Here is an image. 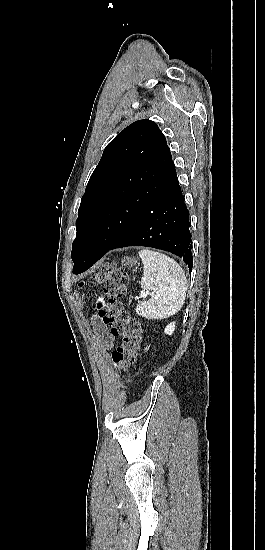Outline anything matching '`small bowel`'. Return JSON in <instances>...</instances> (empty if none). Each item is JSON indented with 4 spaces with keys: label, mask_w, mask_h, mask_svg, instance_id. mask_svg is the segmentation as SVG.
<instances>
[{
    "label": "small bowel",
    "mask_w": 265,
    "mask_h": 550,
    "mask_svg": "<svg viewBox=\"0 0 265 550\" xmlns=\"http://www.w3.org/2000/svg\"><path fill=\"white\" fill-rule=\"evenodd\" d=\"M96 324L98 327L102 329H106V324L103 321H100L97 319ZM116 337L112 335L111 333L107 332L100 337L99 345L102 351L109 352L113 349L115 345Z\"/></svg>",
    "instance_id": "1"
}]
</instances>
